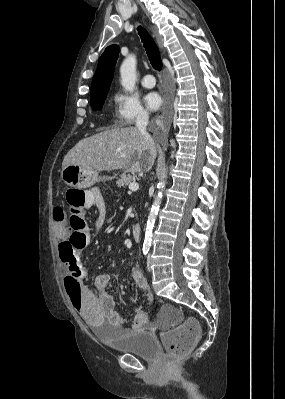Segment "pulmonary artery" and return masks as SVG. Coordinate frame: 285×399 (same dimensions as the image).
<instances>
[{"instance_id":"obj_1","label":"pulmonary artery","mask_w":285,"mask_h":399,"mask_svg":"<svg viewBox=\"0 0 285 399\" xmlns=\"http://www.w3.org/2000/svg\"><path fill=\"white\" fill-rule=\"evenodd\" d=\"M141 84L146 87V88H152L155 86V79L153 77V75L151 73H146L142 80H141Z\"/></svg>"}]
</instances>
